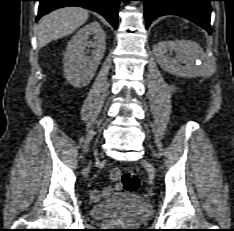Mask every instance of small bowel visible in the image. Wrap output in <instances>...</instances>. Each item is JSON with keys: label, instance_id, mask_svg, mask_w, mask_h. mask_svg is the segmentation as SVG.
<instances>
[{"label": "small bowel", "instance_id": "1", "mask_svg": "<svg viewBox=\"0 0 234 231\" xmlns=\"http://www.w3.org/2000/svg\"><path fill=\"white\" fill-rule=\"evenodd\" d=\"M122 190V184L121 183H115L114 185H110L105 187L102 191H99L97 189H92L91 190V198L95 201H98L104 197H109L113 193L117 191Z\"/></svg>", "mask_w": 234, "mask_h": 231}]
</instances>
